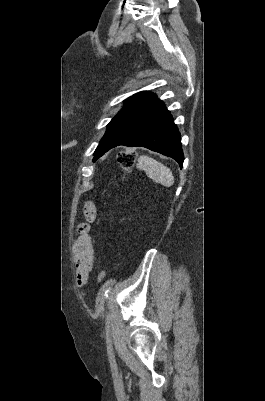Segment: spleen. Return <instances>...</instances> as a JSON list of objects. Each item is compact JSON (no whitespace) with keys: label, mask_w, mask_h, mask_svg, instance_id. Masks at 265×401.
<instances>
[{"label":"spleen","mask_w":265,"mask_h":401,"mask_svg":"<svg viewBox=\"0 0 265 401\" xmlns=\"http://www.w3.org/2000/svg\"><path fill=\"white\" fill-rule=\"evenodd\" d=\"M138 168L145 170L146 174L154 180V182H160L163 186H172L175 178L168 166L158 162L155 158H150L146 154H141L138 158Z\"/></svg>","instance_id":"obj_1"}]
</instances>
